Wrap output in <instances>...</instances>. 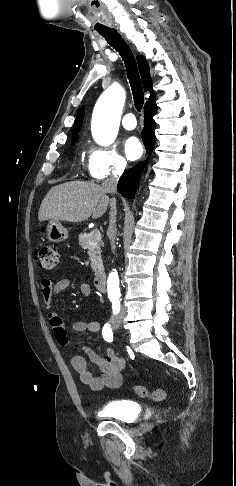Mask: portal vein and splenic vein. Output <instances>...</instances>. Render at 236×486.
Wrapping results in <instances>:
<instances>
[{"label":"portal vein and splenic vein","mask_w":236,"mask_h":486,"mask_svg":"<svg viewBox=\"0 0 236 486\" xmlns=\"http://www.w3.org/2000/svg\"><path fill=\"white\" fill-rule=\"evenodd\" d=\"M92 234L95 236V239H96V240H101V234H100V231H98V230H94V231H92Z\"/></svg>","instance_id":"obj_1"}]
</instances>
